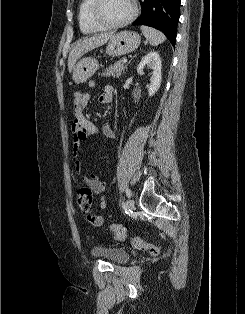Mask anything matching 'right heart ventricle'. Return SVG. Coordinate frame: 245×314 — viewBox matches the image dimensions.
I'll use <instances>...</instances> for the list:
<instances>
[{"label": "right heart ventricle", "mask_w": 245, "mask_h": 314, "mask_svg": "<svg viewBox=\"0 0 245 314\" xmlns=\"http://www.w3.org/2000/svg\"><path fill=\"white\" fill-rule=\"evenodd\" d=\"M94 0H82L79 5L78 19L80 29L85 34H94L104 30L92 18L91 9Z\"/></svg>", "instance_id": "1"}]
</instances>
